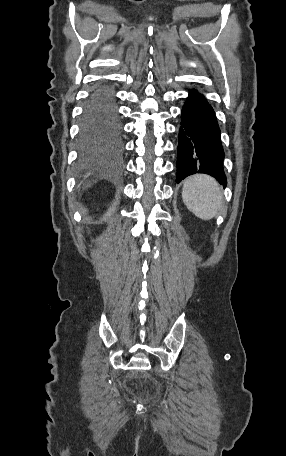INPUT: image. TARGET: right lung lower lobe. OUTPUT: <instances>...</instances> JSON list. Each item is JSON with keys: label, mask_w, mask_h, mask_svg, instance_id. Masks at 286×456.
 Segmentation results:
<instances>
[{"label": "right lung lower lobe", "mask_w": 286, "mask_h": 456, "mask_svg": "<svg viewBox=\"0 0 286 456\" xmlns=\"http://www.w3.org/2000/svg\"><path fill=\"white\" fill-rule=\"evenodd\" d=\"M94 119L107 125H116V133L107 131L105 134L114 135L120 131V121L117 112L116 98L113 88L102 82L90 95L84 110L83 120Z\"/></svg>", "instance_id": "obj_1"}]
</instances>
